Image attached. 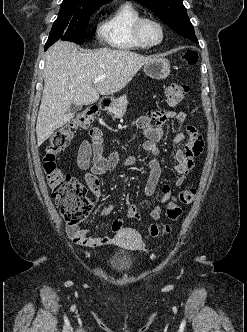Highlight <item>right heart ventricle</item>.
Masks as SVG:
<instances>
[{"mask_svg":"<svg viewBox=\"0 0 247 332\" xmlns=\"http://www.w3.org/2000/svg\"><path fill=\"white\" fill-rule=\"evenodd\" d=\"M142 17L141 11L126 1L114 9L101 26L100 37L110 47L120 50H142L134 37L133 26Z\"/></svg>","mask_w":247,"mask_h":332,"instance_id":"e07e8e85","label":"right heart ventricle"}]
</instances>
